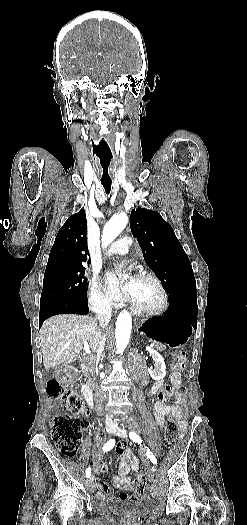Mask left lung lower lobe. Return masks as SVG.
Instances as JSON below:
<instances>
[{
  "instance_id": "left-lung-lower-lobe-1",
  "label": "left lung lower lobe",
  "mask_w": 247,
  "mask_h": 525,
  "mask_svg": "<svg viewBox=\"0 0 247 525\" xmlns=\"http://www.w3.org/2000/svg\"><path fill=\"white\" fill-rule=\"evenodd\" d=\"M161 318L182 320L197 327V296H179L170 300L168 310Z\"/></svg>"
}]
</instances>
